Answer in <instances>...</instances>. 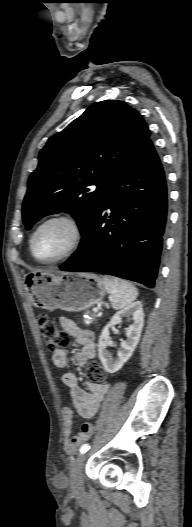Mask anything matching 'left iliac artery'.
<instances>
[{"label":"left iliac artery","instance_id":"obj_1","mask_svg":"<svg viewBox=\"0 0 192 527\" xmlns=\"http://www.w3.org/2000/svg\"><path fill=\"white\" fill-rule=\"evenodd\" d=\"M89 448H90V446H89L88 443L82 445V446L80 447V449H79L80 454H84V453H86V452L89 450Z\"/></svg>","mask_w":192,"mask_h":527}]
</instances>
